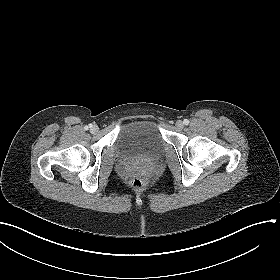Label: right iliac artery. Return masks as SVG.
<instances>
[{"mask_svg":"<svg viewBox=\"0 0 280 280\" xmlns=\"http://www.w3.org/2000/svg\"><path fill=\"white\" fill-rule=\"evenodd\" d=\"M91 127H92V125L90 124L89 126H85L84 129L88 130V128H91Z\"/></svg>","mask_w":280,"mask_h":280,"instance_id":"1","label":"right iliac artery"}]
</instances>
